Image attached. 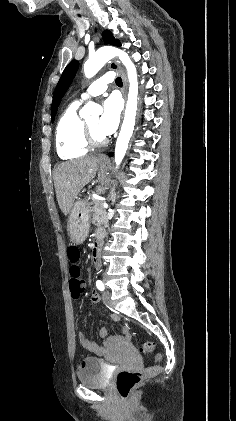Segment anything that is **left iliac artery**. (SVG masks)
Listing matches in <instances>:
<instances>
[{
	"label": "left iliac artery",
	"mask_w": 236,
	"mask_h": 421,
	"mask_svg": "<svg viewBox=\"0 0 236 421\" xmlns=\"http://www.w3.org/2000/svg\"><path fill=\"white\" fill-rule=\"evenodd\" d=\"M96 286L100 291H104V289H105V286H104L103 282L100 281V280L96 281Z\"/></svg>",
	"instance_id": "left-iliac-artery-1"
}]
</instances>
